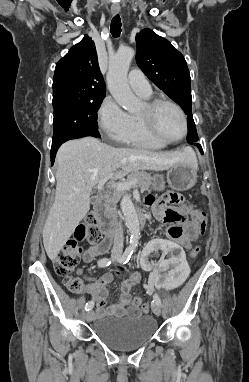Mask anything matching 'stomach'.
Listing matches in <instances>:
<instances>
[{
	"label": "stomach",
	"mask_w": 249,
	"mask_h": 382,
	"mask_svg": "<svg viewBox=\"0 0 249 382\" xmlns=\"http://www.w3.org/2000/svg\"><path fill=\"white\" fill-rule=\"evenodd\" d=\"M166 178L169 187L173 190H188L197 181V164L192 162L176 164L169 168ZM153 188L157 191H162L165 188V181L162 176L155 177Z\"/></svg>",
	"instance_id": "obj_1"
}]
</instances>
